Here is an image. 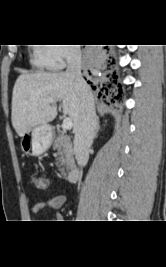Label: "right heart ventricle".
I'll list each match as a JSON object with an SVG mask.
<instances>
[{
	"label": "right heart ventricle",
	"instance_id": "right-heart-ventricle-1",
	"mask_svg": "<svg viewBox=\"0 0 166 267\" xmlns=\"http://www.w3.org/2000/svg\"><path fill=\"white\" fill-rule=\"evenodd\" d=\"M44 45L45 44H36V46H32L30 51V64L32 67L39 70H44L50 66L48 47Z\"/></svg>",
	"mask_w": 166,
	"mask_h": 267
}]
</instances>
